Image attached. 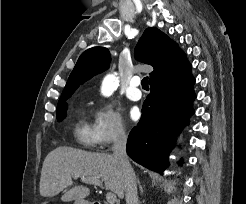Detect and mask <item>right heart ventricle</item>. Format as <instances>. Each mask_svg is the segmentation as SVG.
Masks as SVG:
<instances>
[{
	"instance_id": "right-heart-ventricle-1",
	"label": "right heart ventricle",
	"mask_w": 246,
	"mask_h": 204,
	"mask_svg": "<svg viewBox=\"0 0 246 204\" xmlns=\"http://www.w3.org/2000/svg\"><path fill=\"white\" fill-rule=\"evenodd\" d=\"M76 140L85 147H92L95 142L93 139L92 127L88 124L85 116L80 114L74 127Z\"/></svg>"
}]
</instances>
